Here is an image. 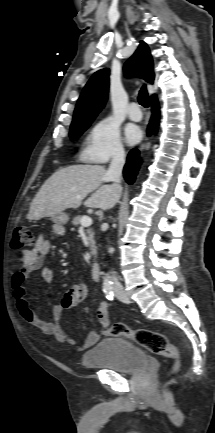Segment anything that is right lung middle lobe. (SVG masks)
I'll list each match as a JSON object with an SVG mask.
<instances>
[{
    "instance_id": "1",
    "label": "right lung middle lobe",
    "mask_w": 215,
    "mask_h": 433,
    "mask_svg": "<svg viewBox=\"0 0 215 433\" xmlns=\"http://www.w3.org/2000/svg\"><path fill=\"white\" fill-rule=\"evenodd\" d=\"M93 120L81 122V123H73L70 127V137L72 139L78 138L91 124Z\"/></svg>"
}]
</instances>
